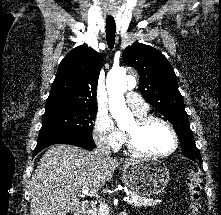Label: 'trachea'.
Masks as SVG:
<instances>
[{
  "label": "trachea",
  "mask_w": 221,
  "mask_h": 215,
  "mask_svg": "<svg viewBox=\"0 0 221 215\" xmlns=\"http://www.w3.org/2000/svg\"><path fill=\"white\" fill-rule=\"evenodd\" d=\"M116 25L114 19H106V40L109 48L115 44Z\"/></svg>",
  "instance_id": "3493384b"
}]
</instances>
